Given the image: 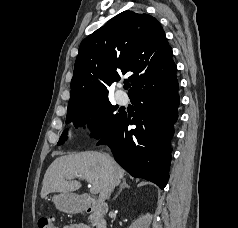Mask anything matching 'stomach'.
Returning a JSON list of instances; mask_svg holds the SVG:
<instances>
[{"label": "stomach", "mask_w": 238, "mask_h": 228, "mask_svg": "<svg viewBox=\"0 0 238 228\" xmlns=\"http://www.w3.org/2000/svg\"><path fill=\"white\" fill-rule=\"evenodd\" d=\"M52 201L57 209L67 213H74L80 211L82 208V204L78 196L71 192H62L55 195Z\"/></svg>", "instance_id": "0dacf381"}]
</instances>
